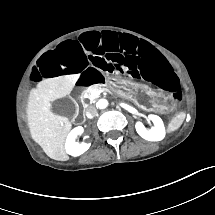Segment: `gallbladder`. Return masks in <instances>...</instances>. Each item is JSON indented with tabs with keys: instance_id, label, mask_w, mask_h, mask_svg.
<instances>
[{
	"instance_id": "1",
	"label": "gallbladder",
	"mask_w": 215,
	"mask_h": 215,
	"mask_svg": "<svg viewBox=\"0 0 215 215\" xmlns=\"http://www.w3.org/2000/svg\"><path fill=\"white\" fill-rule=\"evenodd\" d=\"M53 106V112L59 116L73 118L76 114V104L69 97L55 101Z\"/></svg>"
}]
</instances>
